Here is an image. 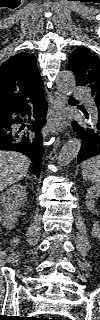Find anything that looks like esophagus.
Wrapping results in <instances>:
<instances>
[{
  "label": "esophagus",
  "mask_w": 100,
  "mask_h": 320,
  "mask_svg": "<svg viewBox=\"0 0 100 320\" xmlns=\"http://www.w3.org/2000/svg\"><path fill=\"white\" fill-rule=\"evenodd\" d=\"M66 104V98L61 95L58 92H55L54 94V105L50 113L47 115V123L43 127L42 134L43 136H47L48 134H55L57 133V130L59 129V119L60 116L65 108ZM65 124H67L66 121H64ZM67 135H70V131L67 133Z\"/></svg>",
  "instance_id": "1"
}]
</instances>
